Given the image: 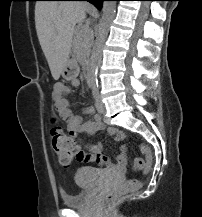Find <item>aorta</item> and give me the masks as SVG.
I'll use <instances>...</instances> for the list:
<instances>
[{"label":"aorta","instance_id":"aorta-1","mask_svg":"<svg viewBox=\"0 0 202 217\" xmlns=\"http://www.w3.org/2000/svg\"><path fill=\"white\" fill-rule=\"evenodd\" d=\"M116 2L104 1L102 6V19L99 24L98 33L96 36L95 44L91 55V73L93 77H96L98 65L101 61L102 49L108 35L109 26L115 16Z\"/></svg>","mask_w":202,"mask_h":217}]
</instances>
